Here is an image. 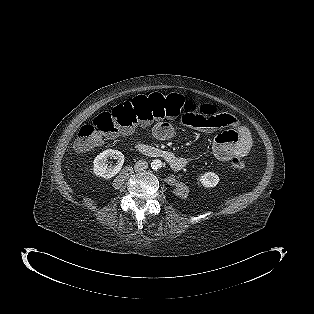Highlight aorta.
Wrapping results in <instances>:
<instances>
[{"label": "aorta", "instance_id": "1", "mask_svg": "<svg viewBox=\"0 0 314 314\" xmlns=\"http://www.w3.org/2000/svg\"><path fill=\"white\" fill-rule=\"evenodd\" d=\"M151 167H152L153 169H159V168H161V167H162V161L159 160V159L154 160V161L151 163Z\"/></svg>", "mask_w": 314, "mask_h": 314}]
</instances>
